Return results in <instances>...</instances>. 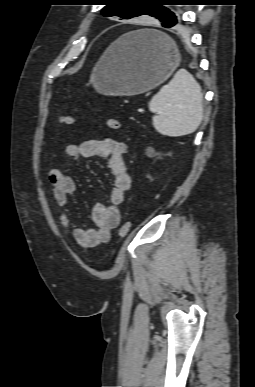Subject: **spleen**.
<instances>
[{"mask_svg":"<svg viewBox=\"0 0 255 387\" xmlns=\"http://www.w3.org/2000/svg\"><path fill=\"white\" fill-rule=\"evenodd\" d=\"M200 85L186 70L180 69L148 104L155 113L153 126L162 135L178 137L197 130L203 118Z\"/></svg>","mask_w":255,"mask_h":387,"instance_id":"obj_1","label":"spleen"}]
</instances>
